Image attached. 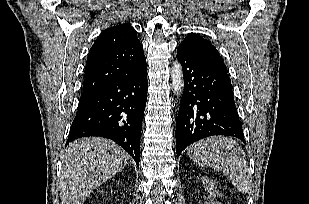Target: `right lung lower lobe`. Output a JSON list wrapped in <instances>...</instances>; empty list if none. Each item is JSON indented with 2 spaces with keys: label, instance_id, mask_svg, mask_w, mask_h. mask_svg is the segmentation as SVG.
I'll return each mask as SVG.
<instances>
[{
  "label": "right lung lower lobe",
  "instance_id": "1",
  "mask_svg": "<svg viewBox=\"0 0 309 204\" xmlns=\"http://www.w3.org/2000/svg\"><path fill=\"white\" fill-rule=\"evenodd\" d=\"M147 89L145 67L136 74L82 93L66 145L87 136L109 138L126 150L139 166Z\"/></svg>",
  "mask_w": 309,
  "mask_h": 204
}]
</instances>
